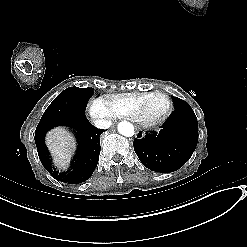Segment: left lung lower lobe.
<instances>
[{
    "mask_svg": "<svg viewBox=\"0 0 247 247\" xmlns=\"http://www.w3.org/2000/svg\"><path fill=\"white\" fill-rule=\"evenodd\" d=\"M198 142L197 117L191 107L176 109L159 133L138 134L133 142L141 163L150 170L168 173L181 168Z\"/></svg>",
    "mask_w": 247,
    "mask_h": 247,
    "instance_id": "1",
    "label": "left lung lower lobe"
}]
</instances>
